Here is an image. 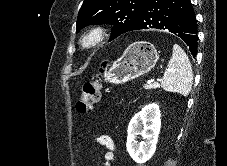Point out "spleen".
<instances>
[{
	"mask_svg": "<svg viewBox=\"0 0 227 166\" xmlns=\"http://www.w3.org/2000/svg\"><path fill=\"white\" fill-rule=\"evenodd\" d=\"M192 84L193 73L188 56L179 45L174 44L172 57L161 79V87L186 97L191 91Z\"/></svg>",
	"mask_w": 227,
	"mask_h": 166,
	"instance_id": "1",
	"label": "spleen"
}]
</instances>
